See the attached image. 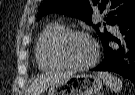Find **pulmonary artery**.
Masks as SVG:
<instances>
[{
  "label": "pulmonary artery",
  "instance_id": "pulmonary-artery-1",
  "mask_svg": "<svg viewBox=\"0 0 135 95\" xmlns=\"http://www.w3.org/2000/svg\"><path fill=\"white\" fill-rule=\"evenodd\" d=\"M113 29H114L116 32H118V28H117V27H113Z\"/></svg>",
  "mask_w": 135,
  "mask_h": 95
}]
</instances>
